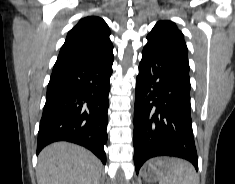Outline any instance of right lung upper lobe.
<instances>
[{
  "mask_svg": "<svg viewBox=\"0 0 235 184\" xmlns=\"http://www.w3.org/2000/svg\"><path fill=\"white\" fill-rule=\"evenodd\" d=\"M106 22L97 16L81 19L66 37L56 62H98L113 59Z\"/></svg>",
  "mask_w": 235,
  "mask_h": 184,
  "instance_id": "1",
  "label": "right lung upper lobe"
}]
</instances>
